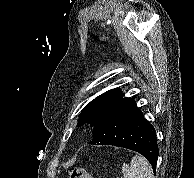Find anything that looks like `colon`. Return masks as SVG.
Wrapping results in <instances>:
<instances>
[{"mask_svg": "<svg viewBox=\"0 0 194 178\" xmlns=\"http://www.w3.org/2000/svg\"><path fill=\"white\" fill-rule=\"evenodd\" d=\"M69 178H94L85 168L74 167L69 169Z\"/></svg>", "mask_w": 194, "mask_h": 178, "instance_id": "5ec220e1", "label": "colon"}]
</instances>
